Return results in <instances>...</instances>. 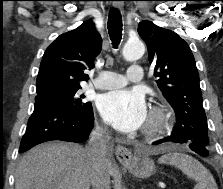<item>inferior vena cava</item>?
Here are the masks:
<instances>
[{"instance_id":"obj_1","label":"inferior vena cava","mask_w":223,"mask_h":189,"mask_svg":"<svg viewBox=\"0 0 223 189\" xmlns=\"http://www.w3.org/2000/svg\"><path fill=\"white\" fill-rule=\"evenodd\" d=\"M104 132L103 128H96L91 133L86 147V152L91 160L90 182L93 189H111Z\"/></svg>"}]
</instances>
